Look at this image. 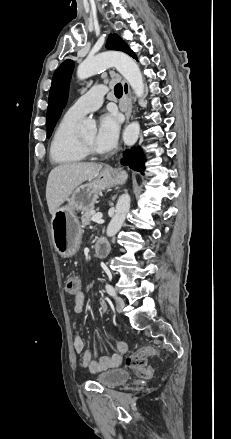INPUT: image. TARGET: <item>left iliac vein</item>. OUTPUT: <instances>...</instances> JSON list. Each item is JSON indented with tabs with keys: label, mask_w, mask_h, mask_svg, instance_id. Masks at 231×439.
Segmentation results:
<instances>
[{
	"label": "left iliac vein",
	"mask_w": 231,
	"mask_h": 439,
	"mask_svg": "<svg viewBox=\"0 0 231 439\" xmlns=\"http://www.w3.org/2000/svg\"><path fill=\"white\" fill-rule=\"evenodd\" d=\"M114 301H115V305H116L117 311L119 313H121L123 308H124V306H125L124 300L121 297L115 296L114 297Z\"/></svg>",
	"instance_id": "4c4485c4"
}]
</instances>
